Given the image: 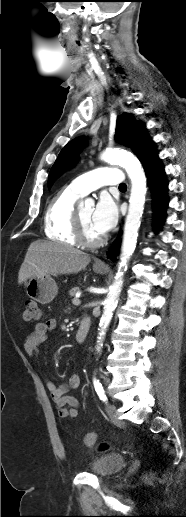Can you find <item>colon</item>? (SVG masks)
Here are the masks:
<instances>
[{"label":"colon","mask_w":186,"mask_h":517,"mask_svg":"<svg viewBox=\"0 0 186 517\" xmlns=\"http://www.w3.org/2000/svg\"><path fill=\"white\" fill-rule=\"evenodd\" d=\"M39 317H40V312H39L38 304L33 300L26 301L25 310L23 312V318L27 321H31V320H37V319H39ZM93 443H94V433H88L85 436L84 444L86 446H90ZM108 447H109V445L107 443H103L101 445V449H103V450L107 449Z\"/></svg>","instance_id":"colon-1"}]
</instances>
